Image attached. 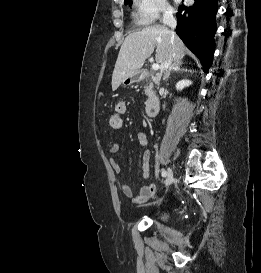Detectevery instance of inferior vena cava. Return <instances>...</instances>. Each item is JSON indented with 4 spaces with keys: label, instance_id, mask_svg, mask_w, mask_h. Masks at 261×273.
<instances>
[{
    "label": "inferior vena cava",
    "instance_id": "602c4592",
    "mask_svg": "<svg viewBox=\"0 0 261 273\" xmlns=\"http://www.w3.org/2000/svg\"><path fill=\"white\" fill-rule=\"evenodd\" d=\"M163 24L167 25L172 30H174L176 28L177 20L174 17V13H173L172 9H166V11L164 12ZM172 33H174V32L172 31ZM172 62H173V58H172V55L170 54L167 61H166L165 66H164V71L167 72L170 68L173 67L174 63H172Z\"/></svg>",
    "mask_w": 261,
    "mask_h": 273
}]
</instances>
